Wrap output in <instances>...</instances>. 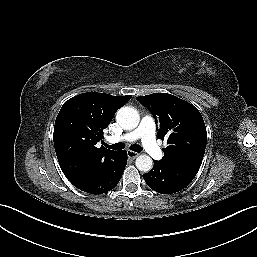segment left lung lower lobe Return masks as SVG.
<instances>
[{
    "instance_id": "0a47b994",
    "label": "left lung lower lobe",
    "mask_w": 257,
    "mask_h": 257,
    "mask_svg": "<svg viewBox=\"0 0 257 257\" xmlns=\"http://www.w3.org/2000/svg\"><path fill=\"white\" fill-rule=\"evenodd\" d=\"M197 171L187 167L154 160V166L143 174L147 185L156 192L171 194L184 189L196 176Z\"/></svg>"
}]
</instances>
